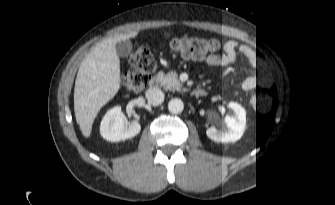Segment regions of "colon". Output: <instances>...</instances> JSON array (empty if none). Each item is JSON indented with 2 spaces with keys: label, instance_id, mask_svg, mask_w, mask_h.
Returning a JSON list of instances; mask_svg holds the SVG:
<instances>
[{
  "label": "colon",
  "instance_id": "obj_1",
  "mask_svg": "<svg viewBox=\"0 0 335 205\" xmlns=\"http://www.w3.org/2000/svg\"><path fill=\"white\" fill-rule=\"evenodd\" d=\"M183 48L192 57L205 58L217 50L218 43L211 39L187 38ZM128 61L130 67L125 76L126 85L133 91H140L148 84L150 73L154 69V55L148 46H141ZM255 102L261 109L268 108L271 103L269 93L261 91L257 94Z\"/></svg>",
  "mask_w": 335,
  "mask_h": 205
}]
</instances>
